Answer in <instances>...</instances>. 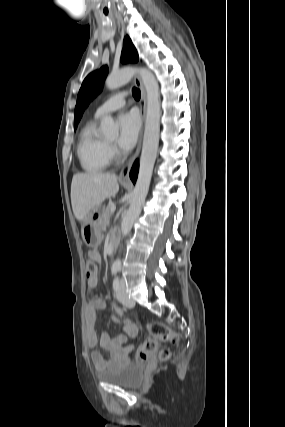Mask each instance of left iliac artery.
<instances>
[{
	"mask_svg": "<svg viewBox=\"0 0 285 427\" xmlns=\"http://www.w3.org/2000/svg\"><path fill=\"white\" fill-rule=\"evenodd\" d=\"M119 285V281H118V277H116L113 281V288L114 290H116L118 288Z\"/></svg>",
	"mask_w": 285,
	"mask_h": 427,
	"instance_id": "left-iliac-artery-1",
	"label": "left iliac artery"
}]
</instances>
